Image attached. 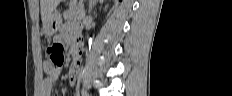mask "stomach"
<instances>
[{
	"label": "stomach",
	"mask_w": 232,
	"mask_h": 96,
	"mask_svg": "<svg viewBox=\"0 0 232 96\" xmlns=\"http://www.w3.org/2000/svg\"><path fill=\"white\" fill-rule=\"evenodd\" d=\"M62 23L61 15L54 11L49 18L48 22L43 26V30L47 36L54 35L57 30L59 29L60 25Z\"/></svg>",
	"instance_id": "0dacf381"
}]
</instances>
